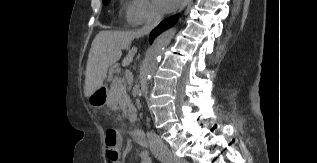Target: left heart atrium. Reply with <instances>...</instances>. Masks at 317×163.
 <instances>
[{
	"label": "left heart atrium",
	"instance_id": "1",
	"mask_svg": "<svg viewBox=\"0 0 317 163\" xmlns=\"http://www.w3.org/2000/svg\"><path fill=\"white\" fill-rule=\"evenodd\" d=\"M180 2V0H155L156 5L162 11H172Z\"/></svg>",
	"mask_w": 317,
	"mask_h": 163
}]
</instances>
